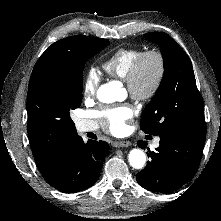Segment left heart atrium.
I'll list each match as a JSON object with an SVG mask.
<instances>
[{
	"label": "left heart atrium",
	"mask_w": 221,
	"mask_h": 221,
	"mask_svg": "<svg viewBox=\"0 0 221 221\" xmlns=\"http://www.w3.org/2000/svg\"><path fill=\"white\" fill-rule=\"evenodd\" d=\"M134 110L128 105L104 107L96 111V117L113 134H121L127 128V122L133 117Z\"/></svg>",
	"instance_id": "left-heart-atrium-1"
}]
</instances>
